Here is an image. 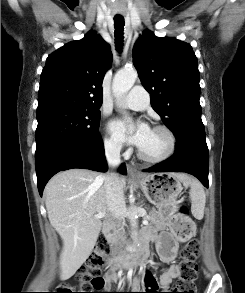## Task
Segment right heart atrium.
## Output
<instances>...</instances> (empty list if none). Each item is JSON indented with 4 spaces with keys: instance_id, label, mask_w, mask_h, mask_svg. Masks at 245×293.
Returning a JSON list of instances; mask_svg holds the SVG:
<instances>
[{
    "instance_id": "right-heart-atrium-1",
    "label": "right heart atrium",
    "mask_w": 245,
    "mask_h": 293,
    "mask_svg": "<svg viewBox=\"0 0 245 293\" xmlns=\"http://www.w3.org/2000/svg\"><path fill=\"white\" fill-rule=\"evenodd\" d=\"M104 148L109 156H118L122 151L121 144L113 138L105 139Z\"/></svg>"
}]
</instances>
